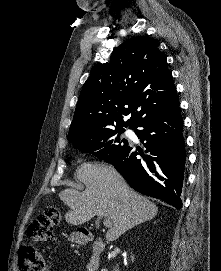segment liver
Here are the masks:
<instances>
[{
	"mask_svg": "<svg viewBox=\"0 0 221 271\" xmlns=\"http://www.w3.org/2000/svg\"><path fill=\"white\" fill-rule=\"evenodd\" d=\"M77 177L85 191L66 189L59 193L70 207L65 213L67 223L82 225L94 215H109L113 227L108 229L106 239L114 241L131 227L157 215V205L129 187L112 165L87 161L79 165Z\"/></svg>",
	"mask_w": 221,
	"mask_h": 271,
	"instance_id": "1",
	"label": "liver"
}]
</instances>
